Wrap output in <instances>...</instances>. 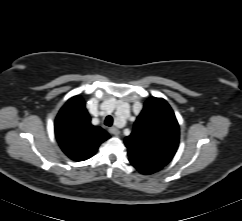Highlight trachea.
I'll return each instance as SVG.
<instances>
[{"instance_id":"obj_1","label":"trachea","mask_w":242,"mask_h":221,"mask_svg":"<svg viewBox=\"0 0 242 221\" xmlns=\"http://www.w3.org/2000/svg\"><path fill=\"white\" fill-rule=\"evenodd\" d=\"M104 123H105L106 126H112V124H113V118H112V116H107L105 118Z\"/></svg>"}]
</instances>
